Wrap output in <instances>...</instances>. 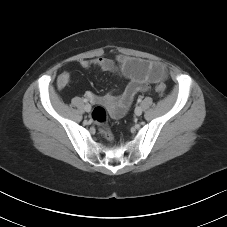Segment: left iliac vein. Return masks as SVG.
Returning <instances> with one entry per match:
<instances>
[{
    "label": "left iliac vein",
    "instance_id": "left-iliac-vein-1",
    "mask_svg": "<svg viewBox=\"0 0 227 227\" xmlns=\"http://www.w3.org/2000/svg\"><path fill=\"white\" fill-rule=\"evenodd\" d=\"M134 112H135V115L140 116L142 114V108L140 106H137Z\"/></svg>",
    "mask_w": 227,
    "mask_h": 227
}]
</instances>
